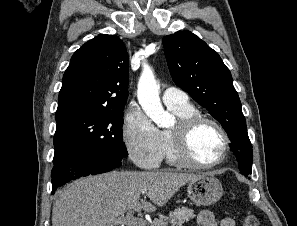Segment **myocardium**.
Instances as JSON below:
<instances>
[{"instance_id":"obj_1","label":"myocardium","mask_w":297,"mask_h":226,"mask_svg":"<svg viewBox=\"0 0 297 226\" xmlns=\"http://www.w3.org/2000/svg\"><path fill=\"white\" fill-rule=\"evenodd\" d=\"M204 123H208L216 127L224 139V145L219 158L206 164L198 162L192 156L189 146L192 132L199 125ZM168 133L175 156L179 163L195 169H211L220 165L226 158L231 142L226 129L216 119L203 115H194L188 118L179 119L175 126L168 131Z\"/></svg>"}]
</instances>
